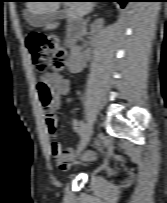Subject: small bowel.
I'll return each instance as SVG.
<instances>
[{
	"instance_id": "1",
	"label": "small bowel",
	"mask_w": 167,
	"mask_h": 203,
	"mask_svg": "<svg viewBox=\"0 0 167 203\" xmlns=\"http://www.w3.org/2000/svg\"><path fill=\"white\" fill-rule=\"evenodd\" d=\"M42 79L50 85L55 94V100L50 106L49 112L44 111L47 131L51 139L49 149L54 162L61 170H66L73 162L93 161L96 157L95 153L87 152L79 157L73 148L63 149L57 141V118L54 112L62 106V98L69 92V80L56 73H46ZM71 126L75 133H80L81 123L77 119L72 120Z\"/></svg>"
}]
</instances>
